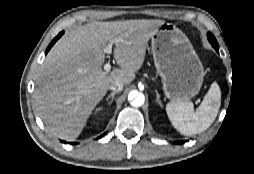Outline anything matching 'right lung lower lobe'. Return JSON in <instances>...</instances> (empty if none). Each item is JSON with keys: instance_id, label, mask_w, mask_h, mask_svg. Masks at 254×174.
I'll return each mask as SVG.
<instances>
[{"instance_id": "1", "label": "right lung lower lobe", "mask_w": 254, "mask_h": 174, "mask_svg": "<svg viewBox=\"0 0 254 174\" xmlns=\"http://www.w3.org/2000/svg\"><path fill=\"white\" fill-rule=\"evenodd\" d=\"M64 32H61L58 34V36L56 38H54L52 40V42L49 44L47 50H46V54L48 53V51L51 49V47L54 45V43L63 35ZM103 136V135H102ZM70 144H77L76 142H70Z\"/></svg>"}]
</instances>
